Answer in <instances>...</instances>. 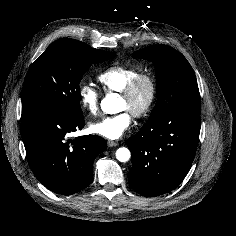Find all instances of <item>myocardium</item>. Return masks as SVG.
I'll use <instances>...</instances> for the list:
<instances>
[{"mask_svg": "<svg viewBox=\"0 0 236 236\" xmlns=\"http://www.w3.org/2000/svg\"><path fill=\"white\" fill-rule=\"evenodd\" d=\"M142 83H145L148 87V97L145 104L141 108L131 113L135 118H142L146 116L154 107L158 95V84L155 76L150 72H139L133 76L125 87L119 92L120 97L130 99Z\"/></svg>", "mask_w": 236, "mask_h": 236, "instance_id": "f54148a6", "label": "myocardium"}]
</instances>
